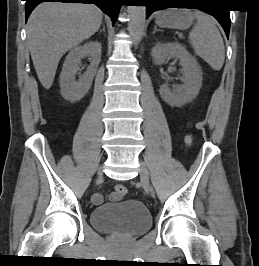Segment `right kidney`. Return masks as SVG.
<instances>
[{"label":"right kidney","mask_w":259,"mask_h":266,"mask_svg":"<svg viewBox=\"0 0 259 266\" xmlns=\"http://www.w3.org/2000/svg\"><path fill=\"white\" fill-rule=\"evenodd\" d=\"M101 43L89 41L84 45L74 47L67 55L60 74L61 95L66 100L76 102L81 100L91 88L94 75L101 61ZM89 57L90 65L78 81L75 75L82 58Z\"/></svg>","instance_id":"right-kidney-1"}]
</instances>
